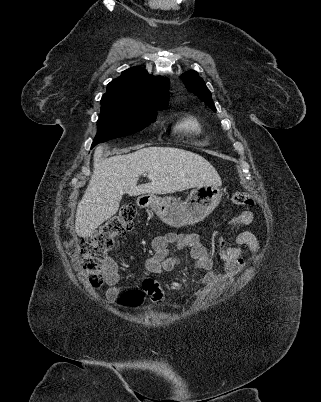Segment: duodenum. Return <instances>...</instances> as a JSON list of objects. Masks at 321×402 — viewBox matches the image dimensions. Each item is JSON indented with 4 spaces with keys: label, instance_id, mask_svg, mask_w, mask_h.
<instances>
[{
    "label": "duodenum",
    "instance_id": "duodenum-1",
    "mask_svg": "<svg viewBox=\"0 0 321 402\" xmlns=\"http://www.w3.org/2000/svg\"><path fill=\"white\" fill-rule=\"evenodd\" d=\"M149 202H150V199H149L148 197H140V198L137 200V204H138V206H140V207H145V206H147V205L149 204Z\"/></svg>",
    "mask_w": 321,
    "mask_h": 402
}]
</instances>
